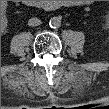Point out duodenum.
Segmentation results:
<instances>
[{"label": "duodenum", "mask_w": 109, "mask_h": 109, "mask_svg": "<svg viewBox=\"0 0 109 109\" xmlns=\"http://www.w3.org/2000/svg\"><path fill=\"white\" fill-rule=\"evenodd\" d=\"M26 5L33 8H40L44 10H50L55 7L53 3L48 1H26Z\"/></svg>", "instance_id": "1"}]
</instances>
